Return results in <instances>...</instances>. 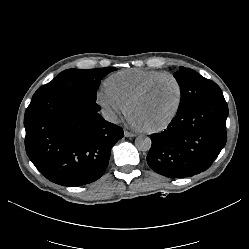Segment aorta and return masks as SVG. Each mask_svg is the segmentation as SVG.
Returning <instances> with one entry per match:
<instances>
[{
  "instance_id": "obj_1",
  "label": "aorta",
  "mask_w": 249,
  "mask_h": 249,
  "mask_svg": "<svg viewBox=\"0 0 249 249\" xmlns=\"http://www.w3.org/2000/svg\"><path fill=\"white\" fill-rule=\"evenodd\" d=\"M151 139L146 136H138L135 139V146L138 148L140 151H148L151 148Z\"/></svg>"
}]
</instances>
